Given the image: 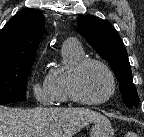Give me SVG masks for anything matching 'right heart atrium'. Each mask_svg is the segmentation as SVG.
Segmentation results:
<instances>
[{
  "label": "right heart atrium",
  "instance_id": "d8ad5b80",
  "mask_svg": "<svg viewBox=\"0 0 144 137\" xmlns=\"http://www.w3.org/2000/svg\"><path fill=\"white\" fill-rule=\"evenodd\" d=\"M30 88L38 103L42 105H52L55 103V96L48 75H44L41 78L33 77L30 81Z\"/></svg>",
  "mask_w": 144,
  "mask_h": 137
}]
</instances>
